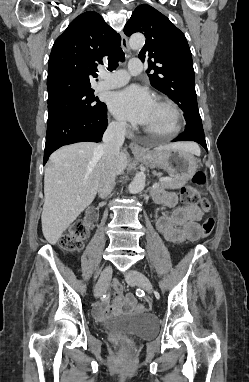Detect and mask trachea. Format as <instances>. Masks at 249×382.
<instances>
[{
	"mask_svg": "<svg viewBox=\"0 0 249 382\" xmlns=\"http://www.w3.org/2000/svg\"><path fill=\"white\" fill-rule=\"evenodd\" d=\"M125 60V53L121 48L116 49L108 57V70L113 71L117 68L118 62H123Z\"/></svg>",
	"mask_w": 249,
	"mask_h": 382,
	"instance_id": "1",
	"label": "trachea"
}]
</instances>
